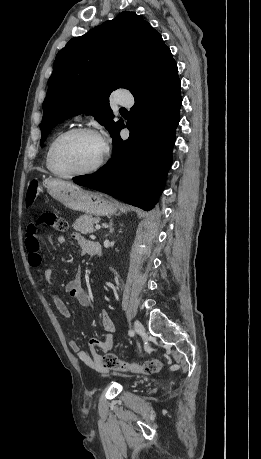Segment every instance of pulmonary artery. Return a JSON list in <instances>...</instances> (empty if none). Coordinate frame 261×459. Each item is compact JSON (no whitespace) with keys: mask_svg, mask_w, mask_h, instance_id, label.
Here are the masks:
<instances>
[{"mask_svg":"<svg viewBox=\"0 0 261 459\" xmlns=\"http://www.w3.org/2000/svg\"><path fill=\"white\" fill-rule=\"evenodd\" d=\"M133 100L129 95L119 94L117 97V103L122 106H130Z\"/></svg>","mask_w":261,"mask_h":459,"instance_id":"1","label":"pulmonary artery"}]
</instances>
